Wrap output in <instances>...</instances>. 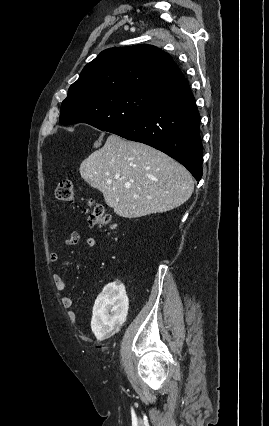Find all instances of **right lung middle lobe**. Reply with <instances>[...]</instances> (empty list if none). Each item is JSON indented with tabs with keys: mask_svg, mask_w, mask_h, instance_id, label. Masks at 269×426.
<instances>
[{
	"mask_svg": "<svg viewBox=\"0 0 269 426\" xmlns=\"http://www.w3.org/2000/svg\"><path fill=\"white\" fill-rule=\"evenodd\" d=\"M157 93L130 89L107 92L93 98L73 93L61 104L60 123H87L102 131L113 132L143 115Z\"/></svg>",
	"mask_w": 269,
	"mask_h": 426,
	"instance_id": "1",
	"label": "right lung middle lobe"
}]
</instances>
